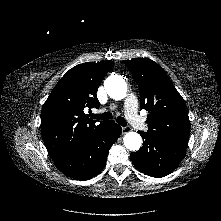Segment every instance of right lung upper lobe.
Masks as SVG:
<instances>
[{"instance_id":"cb5924a9","label":"right lung upper lobe","mask_w":221,"mask_h":221,"mask_svg":"<svg viewBox=\"0 0 221 221\" xmlns=\"http://www.w3.org/2000/svg\"><path fill=\"white\" fill-rule=\"evenodd\" d=\"M112 65L108 61L79 64L50 93L41 112V132L54 161L73 153L107 123L97 124L83 110L99 107L96 91Z\"/></svg>"}]
</instances>
